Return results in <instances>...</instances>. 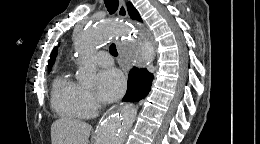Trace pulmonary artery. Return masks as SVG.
<instances>
[{"label": "pulmonary artery", "mask_w": 260, "mask_h": 144, "mask_svg": "<svg viewBox=\"0 0 260 144\" xmlns=\"http://www.w3.org/2000/svg\"><path fill=\"white\" fill-rule=\"evenodd\" d=\"M97 64L101 67H110L113 65V59L111 55L106 51H100L95 56Z\"/></svg>", "instance_id": "obj_1"}]
</instances>
